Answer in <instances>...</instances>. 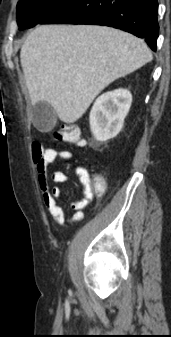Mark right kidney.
I'll return each mask as SVG.
<instances>
[{
    "label": "right kidney",
    "instance_id": "1",
    "mask_svg": "<svg viewBox=\"0 0 171 337\" xmlns=\"http://www.w3.org/2000/svg\"><path fill=\"white\" fill-rule=\"evenodd\" d=\"M132 95L127 89H116L99 96L90 112V129L97 141L114 138L122 129L129 112Z\"/></svg>",
    "mask_w": 171,
    "mask_h": 337
}]
</instances>
